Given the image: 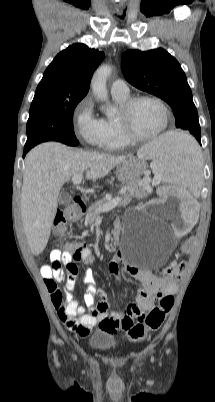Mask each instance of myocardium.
Returning a JSON list of instances; mask_svg holds the SVG:
<instances>
[{
	"mask_svg": "<svg viewBox=\"0 0 215 402\" xmlns=\"http://www.w3.org/2000/svg\"><path fill=\"white\" fill-rule=\"evenodd\" d=\"M141 101H152L156 103L162 109L164 114V124L161 127V129L155 132L154 134L147 136L137 134L132 127L131 116L133 109ZM170 117H171L170 110L167 104L162 99L153 95H139L129 98L123 104L118 115V121L124 137L130 143H140L155 140L159 138L161 135H163L169 128Z\"/></svg>",
	"mask_w": 215,
	"mask_h": 402,
	"instance_id": "f54148a6",
	"label": "myocardium"
}]
</instances>
